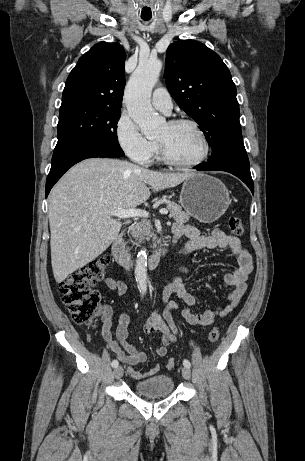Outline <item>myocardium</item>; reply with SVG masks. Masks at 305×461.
Listing matches in <instances>:
<instances>
[{"label": "myocardium", "mask_w": 305, "mask_h": 461, "mask_svg": "<svg viewBox=\"0 0 305 461\" xmlns=\"http://www.w3.org/2000/svg\"><path fill=\"white\" fill-rule=\"evenodd\" d=\"M168 124L170 126H180V125H189V126H191L198 133V135L201 138V141H202V144H203V152H202L201 156L198 159L194 160V161L181 162V161H178V160L174 159L169 154V152L167 151L165 145L162 142L158 141L159 153H160V156H161L162 160L165 163H167V164H169L171 166H174V167H178V168H194V167H197V166L201 165L208 158L209 153H210V143H209V140H208V137H207L206 133L201 128V126L196 121H194L192 119H187V118L173 119V120H170L168 122Z\"/></svg>", "instance_id": "obj_1"}]
</instances>
